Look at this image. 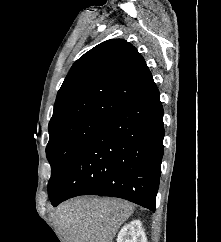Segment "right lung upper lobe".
<instances>
[{"label":"right lung upper lobe","instance_id":"right-lung-upper-lobe-1","mask_svg":"<svg viewBox=\"0 0 221 242\" xmlns=\"http://www.w3.org/2000/svg\"><path fill=\"white\" fill-rule=\"evenodd\" d=\"M155 84L144 58L129 42L111 39L71 67L54 105L49 130L84 120H105Z\"/></svg>","mask_w":221,"mask_h":242}]
</instances>
